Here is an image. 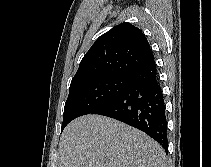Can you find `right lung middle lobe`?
I'll use <instances>...</instances> for the list:
<instances>
[{"label":"right lung middle lobe","mask_w":211,"mask_h":167,"mask_svg":"<svg viewBox=\"0 0 211 167\" xmlns=\"http://www.w3.org/2000/svg\"><path fill=\"white\" fill-rule=\"evenodd\" d=\"M128 86L127 77L110 76L94 79L70 88L64 107L61 130L73 119L94 113L105 106Z\"/></svg>","instance_id":"1"}]
</instances>
